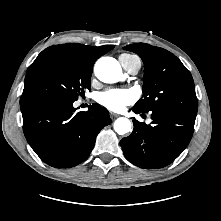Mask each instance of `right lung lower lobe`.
Wrapping results in <instances>:
<instances>
[{
    "label": "right lung lower lobe",
    "instance_id": "obj_1",
    "mask_svg": "<svg viewBox=\"0 0 221 221\" xmlns=\"http://www.w3.org/2000/svg\"><path fill=\"white\" fill-rule=\"evenodd\" d=\"M73 102L31 98L21 104L24 135L46 164L70 168L87 159L97 134L111 123L109 112L93 104L77 112Z\"/></svg>",
    "mask_w": 221,
    "mask_h": 221
}]
</instances>
